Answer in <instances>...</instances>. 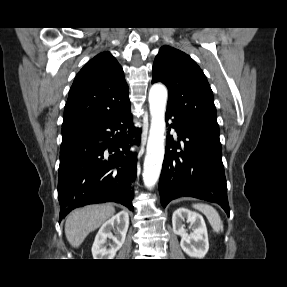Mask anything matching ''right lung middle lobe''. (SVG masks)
Here are the masks:
<instances>
[{
	"label": "right lung middle lobe",
	"mask_w": 287,
	"mask_h": 287,
	"mask_svg": "<svg viewBox=\"0 0 287 287\" xmlns=\"http://www.w3.org/2000/svg\"><path fill=\"white\" fill-rule=\"evenodd\" d=\"M84 126H80V125H72V126H66V127H62V134L75 130V129H79L82 128Z\"/></svg>",
	"instance_id": "obj_1"
}]
</instances>
